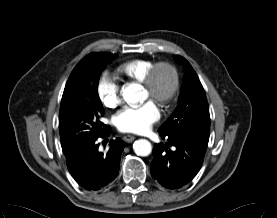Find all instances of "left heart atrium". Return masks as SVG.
<instances>
[{"mask_svg":"<svg viewBox=\"0 0 277 218\" xmlns=\"http://www.w3.org/2000/svg\"><path fill=\"white\" fill-rule=\"evenodd\" d=\"M155 116V110L151 104L125 109L120 115V122L124 126L144 128Z\"/></svg>","mask_w":277,"mask_h":218,"instance_id":"obj_1","label":"left heart atrium"}]
</instances>
